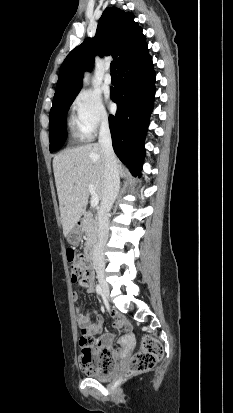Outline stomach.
<instances>
[{"label":"stomach","instance_id":"0dacf381","mask_svg":"<svg viewBox=\"0 0 233 413\" xmlns=\"http://www.w3.org/2000/svg\"><path fill=\"white\" fill-rule=\"evenodd\" d=\"M82 234H83V231H82L81 226L76 224L69 232L67 236V241L71 245H78L82 239Z\"/></svg>","mask_w":233,"mask_h":413}]
</instances>
